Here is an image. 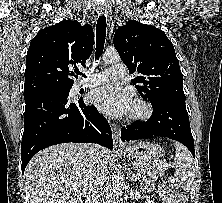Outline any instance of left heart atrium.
Returning <instances> with one entry per match:
<instances>
[{
    "mask_svg": "<svg viewBox=\"0 0 222 203\" xmlns=\"http://www.w3.org/2000/svg\"><path fill=\"white\" fill-rule=\"evenodd\" d=\"M91 101L100 111L112 116L128 113L132 106L130 92L115 85H105L94 90Z\"/></svg>",
    "mask_w": 222,
    "mask_h": 203,
    "instance_id": "left-heart-atrium-1",
    "label": "left heart atrium"
}]
</instances>
